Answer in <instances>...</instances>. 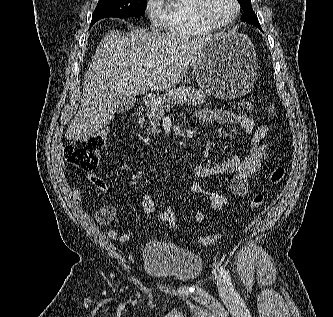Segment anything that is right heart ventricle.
<instances>
[{
	"label": "right heart ventricle",
	"instance_id": "e07e8e85",
	"mask_svg": "<svg viewBox=\"0 0 333 317\" xmlns=\"http://www.w3.org/2000/svg\"><path fill=\"white\" fill-rule=\"evenodd\" d=\"M164 28L167 33L182 38L209 34L212 30L200 25L193 13V0H168L163 5Z\"/></svg>",
	"mask_w": 333,
	"mask_h": 317
}]
</instances>
